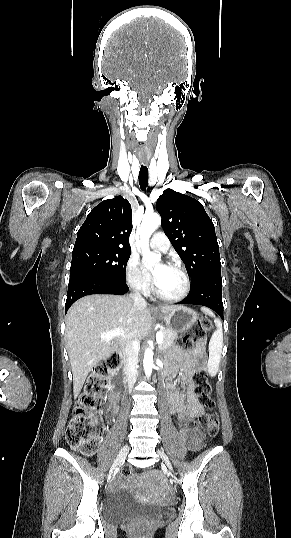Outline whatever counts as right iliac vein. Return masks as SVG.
I'll return each mask as SVG.
<instances>
[{
  "instance_id": "63e3f726",
  "label": "right iliac vein",
  "mask_w": 291,
  "mask_h": 538,
  "mask_svg": "<svg viewBox=\"0 0 291 538\" xmlns=\"http://www.w3.org/2000/svg\"><path fill=\"white\" fill-rule=\"evenodd\" d=\"M129 452V446L125 445L118 453L116 459L113 462L110 472H112L121 462H123Z\"/></svg>"
}]
</instances>
